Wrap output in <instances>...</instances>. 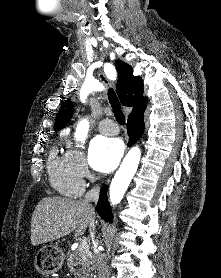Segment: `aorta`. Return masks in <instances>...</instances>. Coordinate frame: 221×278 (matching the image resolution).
Wrapping results in <instances>:
<instances>
[{
	"instance_id": "1",
	"label": "aorta",
	"mask_w": 221,
	"mask_h": 278,
	"mask_svg": "<svg viewBox=\"0 0 221 278\" xmlns=\"http://www.w3.org/2000/svg\"><path fill=\"white\" fill-rule=\"evenodd\" d=\"M88 130L89 122L84 119L76 128L75 138L79 141H84L87 137ZM140 157L141 150L138 146H136L133 147L124 158L122 165L116 172L110 184L109 199L112 205L118 204L122 200L134 174L137 171Z\"/></svg>"
}]
</instances>
